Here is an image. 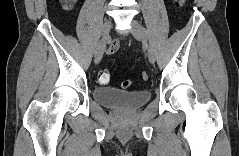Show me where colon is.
I'll list each match as a JSON object with an SVG mask.
<instances>
[{
    "instance_id": "5ec220e1",
    "label": "colon",
    "mask_w": 239,
    "mask_h": 156,
    "mask_svg": "<svg viewBox=\"0 0 239 156\" xmlns=\"http://www.w3.org/2000/svg\"><path fill=\"white\" fill-rule=\"evenodd\" d=\"M179 3L182 4L183 3V0H179ZM66 8H71L72 7V4L71 3H67L65 5ZM148 79V76L145 72H143L141 74V80L143 81H146ZM110 80V74H109V71L107 69H102L100 72H99V75H98V81L99 83L101 84H106L108 83ZM132 85V82L129 81V80H125L122 82L121 86L122 88L124 89H127L129 88L130 86Z\"/></svg>"
}]
</instances>
